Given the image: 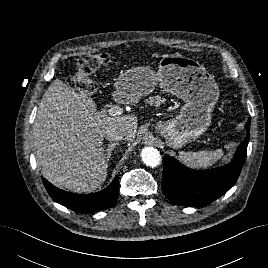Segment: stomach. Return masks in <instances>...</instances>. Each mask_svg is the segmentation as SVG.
Masks as SVG:
<instances>
[{
	"mask_svg": "<svg viewBox=\"0 0 268 268\" xmlns=\"http://www.w3.org/2000/svg\"><path fill=\"white\" fill-rule=\"evenodd\" d=\"M157 85L185 102L175 118L156 125L166 144L181 148L203 135L219 97L218 86L203 65L182 55L164 56L157 73L140 66L121 74L115 82V93L121 101L134 103L151 94Z\"/></svg>",
	"mask_w": 268,
	"mask_h": 268,
	"instance_id": "0dacf381",
	"label": "stomach"
}]
</instances>
